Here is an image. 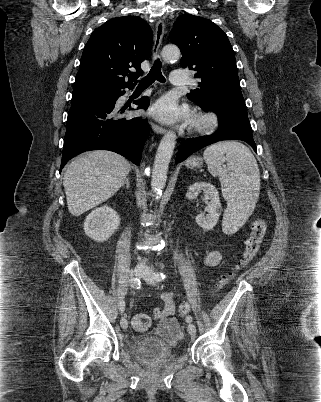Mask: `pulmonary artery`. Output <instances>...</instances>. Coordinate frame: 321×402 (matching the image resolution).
<instances>
[{
    "instance_id": "pulmonary-artery-1",
    "label": "pulmonary artery",
    "mask_w": 321,
    "mask_h": 402,
    "mask_svg": "<svg viewBox=\"0 0 321 402\" xmlns=\"http://www.w3.org/2000/svg\"><path fill=\"white\" fill-rule=\"evenodd\" d=\"M170 83L173 86H181L187 84L185 71L183 69H177L170 74Z\"/></svg>"
}]
</instances>
